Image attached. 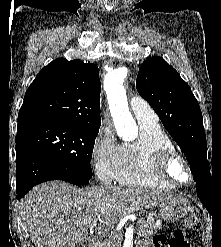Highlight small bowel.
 Segmentation results:
<instances>
[{"label":"small bowel","instance_id":"small-bowel-1","mask_svg":"<svg viewBox=\"0 0 221 247\" xmlns=\"http://www.w3.org/2000/svg\"><path fill=\"white\" fill-rule=\"evenodd\" d=\"M139 247H157L153 242H145L139 245Z\"/></svg>","mask_w":221,"mask_h":247}]
</instances>
